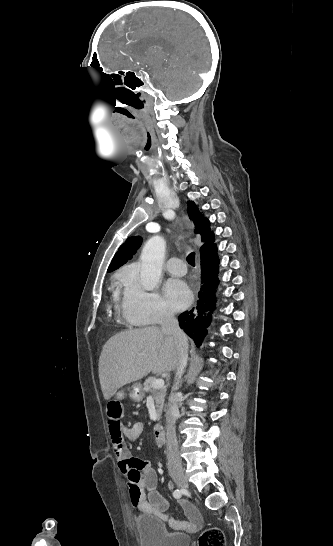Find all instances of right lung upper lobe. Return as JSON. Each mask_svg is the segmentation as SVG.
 <instances>
[{"label": "right lung upper lobe", "instance_id": "right-lung-upper-lobe-1", "mask_svg": "<svg viewBox=\"0 0 333 546\" xmlns=\"http://www.w3.org/2000/svg\"><path fill=\"white\" fill-rule=\"evenodd\" d=\"M188 215L195 224V233H199L202 241L205 242L200 249L201 255L206 254L215 246V244H213L214 233L209 227L210 222L201 215L194 202H188ZM141 243L142 238L140 236L128 238L114 255L111 264L109 265L108 272L114 271L131 259L137 249H139Z\"/></svg>", "mask_w": 333, "mask_h": 546}]
</instances>
